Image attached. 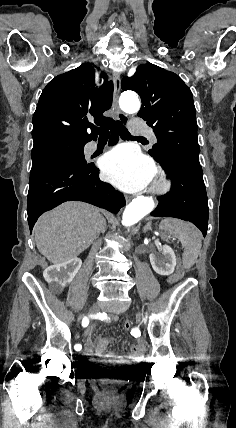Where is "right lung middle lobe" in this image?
I'll return each instance as SVG.
<instances>
[{"label": "right lung middle lobe", "mask_w": 236, "mask_h": 428, "mask_svg": "<svg viewBox=\"0 0 236 428\" xmlns=\"http://www.w3.org/2000/svg\"><path fill=\"white\" fill-rule=\"evenodd\" d=\"M88 141L84 140H51L34 145L32 149V169L54 162H71L86 164L83 148Z\"/></svg>", "instance_id": "1"}]
</instances>
